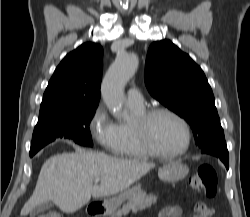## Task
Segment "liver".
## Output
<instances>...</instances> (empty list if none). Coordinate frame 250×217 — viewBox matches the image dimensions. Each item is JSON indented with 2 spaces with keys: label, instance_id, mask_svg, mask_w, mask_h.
<instances>
[{
  "label": "liver",
  "instance_id": "obj_1",
  "mask_svg": "<svg viewBox=\"0 0 250 217\" xmlns=\"http://www.w3.org/2000/svg\"><path fill=\"white\" fill-rule=\"evenodd\" d=\"M154 164L140 160L114 158L102 153L78 151L47 159L38 176L32 196L21 215L52 201L61 211L73 213L93 198L108 197L128 189L146 175ZM100 179L99 185H92Z\"/></svg>",
  "mask_w": 250,
  "mask_h": 217
}]
</instances>
